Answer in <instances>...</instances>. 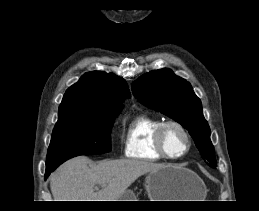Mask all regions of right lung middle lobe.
Masks as SVG:
<instances>
[{"label":"right lung middle lobe","instance_id":"right-lung-middle-lobe-1","mask_svg":"<svg viewBox=\"0 0 259 211\" xmlns=\"http://www.w3.org/2000/svg\"><path fill=\"white\" fill-rule=\"evenodd\" d=\"M118 111L73 110L59 115L48 149L46 168L83 154L111 151L110 131Z\"/></svg>","mask_w":259,"mask_h":211}]
</instances>
